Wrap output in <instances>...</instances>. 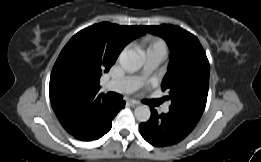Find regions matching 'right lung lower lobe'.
Wrapping results in <instances>:
<instances>
[{
  "instance_id": "obj_1",
  "label": "right lung lower lobe",
  "mask_w": 261,
  "mask_h": 162,
  "mask_svg": "<svg viewBox=\"0 0 261 162\" xmlns=\"http://www.w3.org/2000/svg\"><path fill=\"white\" fill-rule=\"evenodd\" d=\"M124 105V101L113 102L100 109L93 117L83 121L75 131L69 133L79 140H97L111 129V121Z\"/></svg>"
}]
</instances>
